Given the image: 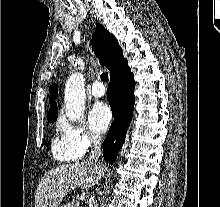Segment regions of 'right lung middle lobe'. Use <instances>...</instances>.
<instances>
[{
    "label": "right lung middle lobe",
    "instance_id": "right-lung-middle-lobe-1",
    "mask_svg": "<svg viewBox=\"0 0 220 207\" xmlns=\"http://www.w3.org/2000/svg\"><path fill=\"white\" fill-rule=\"evenodd\" d=\"M57 120V118H55L54 120H49V122L51 123V122H55Z\"/></svg>",
    "mask_w": 220,
    "mask_h": 207
}]
</instances>
